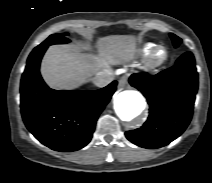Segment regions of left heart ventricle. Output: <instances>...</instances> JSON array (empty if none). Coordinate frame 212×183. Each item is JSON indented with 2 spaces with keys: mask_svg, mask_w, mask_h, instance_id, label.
Instances as JSON below:
<instances>
[{
  "mask_svg": "<svg viewBox=\"0 0 212 183\" xmlns=\"http://www.w3.org/2000/svg\"><path fill=\"white\" fill-rule=\"evenodd\" d=\"M163 56H164V52H163L162 50L158 51L156 57H157L158 59H160V58H162Z\"/></svg>",
  "mask_w": 212,
  "mask_h": 183,
  "instance_id": "obj_1",
  "label": "left heart ventricle"
}]
</instances>
